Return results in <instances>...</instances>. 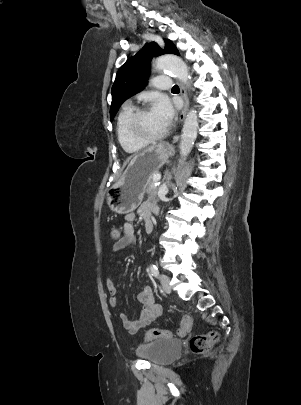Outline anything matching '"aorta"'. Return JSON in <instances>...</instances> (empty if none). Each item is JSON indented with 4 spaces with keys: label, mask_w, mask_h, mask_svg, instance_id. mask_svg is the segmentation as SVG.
Instances as JSON below:
<instances>
[{
    "label": "aorta",
    "mask_w": 301,
    "mask_h": 405,
    "mask_svg": "<svg viewBox=\"0 0 301 405\" xmlns=\"http://www.w3.org/2000/svg\"><path fill=\"white\" fill-rule=\"evenodd\" d=\"M155 68L158 71H167L177 77L183 84L190 86V75L185 62L174 55H166L160 57L156 63ZM198 118L194 109L189 110L182 129L181 141L179 145L180 159L179 163H183L187 155L191 152L194 142L197 137Z\"/></svg>",
    "instance_id": "1"
}]
</instances>
